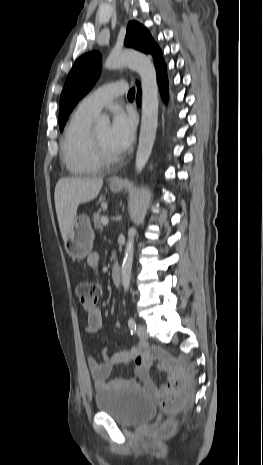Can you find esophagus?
<instances>
[{
    "mask_svg": "<svg viewBox=\"0 0 263 465\" xmlns=\"http://www.w3.org/2000/svg\"><path fill=\"white\" fill-rule=\"evenodd\" d=\"M112 183L117 184V183H119V180L115 179V180L112 181Z\"/></svg>",
    "mask_w": 263,
    "mask_h": 465,
    "instance_id": "esophagus-1",
    "label": "esophagus"
}]
</instances>
